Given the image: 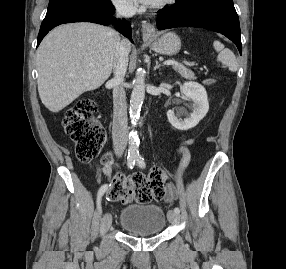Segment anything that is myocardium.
Returning a JSON list of instances; mask_svg holds the SVG:
<instances>
[{"instance_id":"1","label":"myocardium","mask_w":286,"mask_h":269,"mask_svg":"<svg viewBox=\"0 0 286 269\" xmlns=\"http://www.w3.org/2000/svg\"><path fill=\"white\" fill-rule=\"evenodd\" d=\"M175 1L176 0H160L157 3L152 4L151 8L153 10H162L173 4Z\"/></svg>"}]
</instances>
